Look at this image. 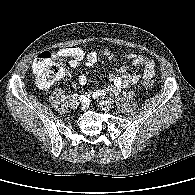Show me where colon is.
Here are the masks:
<instances>
[{
	"label": "colon",
	"mask_w": 195,
	"mask_h": 195,
	"mask_svg": "<svg viewBox=\"0 0 195 195\" xmlns=\"http://www.w3.org/2000/svg\"><path fill=\"white\" fill-rule=\"evenodd\" d=\"M32 67L37 83L43 88L49 87L55 81L62 78L64 74L63 60L51 52H42L39 54L34 60ZM143 85L146 88H150L153 86V82L150 79H145Z\"/></svg>",
	"instance_id": "1"
}]
</instances>
